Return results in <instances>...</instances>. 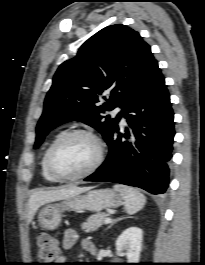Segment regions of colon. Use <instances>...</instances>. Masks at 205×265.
<instances>
[{
    "mask_svg": "<svg viewBox=\"0 0 205 265\" xmlns=\"http://www.w3.org/2000/svg\"><path fill=\"white\" fill-rule=\"evenodd\" d=\"M60 248L57 240L49 234H40L37 238V256L40 265H53L58 258Z\"/></svg>",
    "mask_w": 205,
    "mask_h": 265,
    "instance_id": "colon-1",
    "label": "colon"
}]
</instances>
